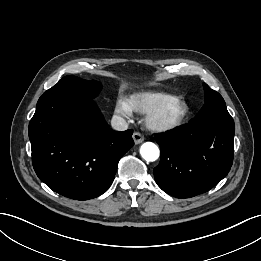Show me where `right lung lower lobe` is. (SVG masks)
<instances>
[{"label": "right lung lower lobe", "instance_id": "1", "mask_svg": "<svg viewBox=\"0 0 261 261\" xmlns=\"http://www.w3.org/2000/svg\"><path fill=\"white\" fill-rule=\"evenodd\" d=\"M131 129H110L92 99L41 96L29 123L32 163L53 191L76 200L103 194L120 158L134 145Z\"/></svg>", "mask_w": 261, "mask_h": 261}]
</instances>
